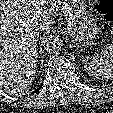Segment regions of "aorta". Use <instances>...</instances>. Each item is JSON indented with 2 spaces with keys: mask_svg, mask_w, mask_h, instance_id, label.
Masks as SVG:
<instances>
[{
  "mask_svg": "<svg viewBox=\"0 0 113 113\" xmlns=\"http://www.w3.org/2000/svg\"><path fill=\"white\" fill-rule=\"evenodd\" d=\"M62 47V39L58 35H49L43 40V48L48 53H56Z\"/></svg>",
  "mask_w": 113,
  "mask_h": 113,
  "instance_id": "762f6f07",
  "label": "aorta"
}]
</instances>
